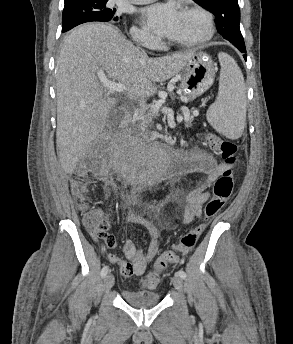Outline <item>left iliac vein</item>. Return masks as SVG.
<instances>
[{
    "mask_svg": "<svg viewBox=\"0 0 293 344\" xmlns=\"http://www.w3.org/2000/svg\"><path fill=\"white\" fill-rule=\"evenodd\" d=\"M172 284L177 291H179L180 293L183 292V280L181 277H179L178 275L173 276Z\"/></svg>",
    "mask_w": 293,
    "mask_h": 344,
    "instance_id": "4c4485c4",
    "label": "left iliac vein"
}]
</instances>
